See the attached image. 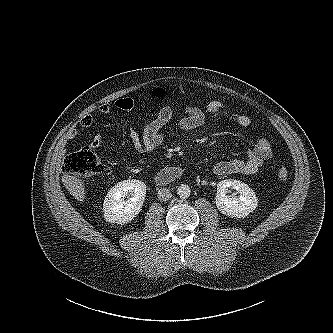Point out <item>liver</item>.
I'll use <instances>...</instances> for the list:
<instances>
[{
    "label": "liver",
    "mask_w": 333,
    "mask_h": 333,
    "mask_svg": "<svg viewBox=\"0 0 333 333\" xmlns=\"http://www.w3.org/2000/svg\"><path fill=\"white\" fill-rule=\"evenodd\" d=\"M62 182L69 193L80 202H83L86 195V190L83 182L76 176L64 174L62 176Z\"/></svg>",
    "instance_id": "liver-1"
}]
</instances>
